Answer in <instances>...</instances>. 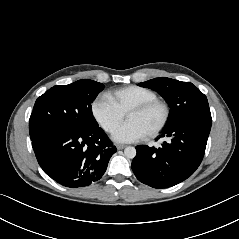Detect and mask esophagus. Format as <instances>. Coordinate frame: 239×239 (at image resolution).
I'll return each mask as SVG.
<instances>
[{"instance_id":"obj_1","label":"esophagus","mask_w":239,"mask_h":239,"mask_svg":"<svg viewBox=\"0 0 239 239\" xmlns=\"http://www.w3.org/2000/svg\"><path fill=\"white\" fill-rule=\"evenodd\" d=\"M126 146L125 145H122V144H117L116 145V148L118 149V150H121V149H124Z\"/></svg>"}]
</instances>
